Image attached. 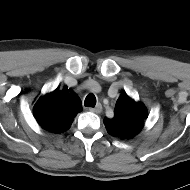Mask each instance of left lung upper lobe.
Returning <instances> with one entry per match:
<instances>
[{
  "label": "left lung upper lobe",
  "instance_id": "obj_1",
  "mask_svg": "<svg viewBox=\"0 0 190 190\" xmlns=\"http://www.w3.org/2000/svg\"><path fill=\"white\" fill-rule=\"evenodd\" d=\"M147 117L146 107L140 102H135L124 92L116 102L114 117L104 118L103 122L110 135L129 139L142 130Z\"/></svg>",
  "mask_w": 190,
  "mask_h": 190
}]
</instances>
